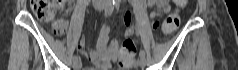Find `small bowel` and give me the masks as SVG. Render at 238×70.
Here are the masks:
<instances>
[{
  "label": "small bowel",
  "instance_id": "obj_1",
  "mask_svg": "<svg viewBox=\"0 0 238 70\" xmlns=\"http://www.w3.org/2000/svg\"><path fill=\"white\" fill-rule=\"evenodd\" d=\"M185 4V3H184ZM147 5L150 7L156 6L158 9L151 12V18L159 17L169 11L170 5L166 0H148ZM125 22L127 24V30L125 33L134 32L133 26H131V13L128 11L125 14ZM68 27V22L65 19H59L53 25L54 31L58 35L65 33ZM110 27L106 24L100 28L97 49L93 51L87 46L86 40L82 38L78 44V50L93 64L92 67L87 70H109L112 62H115L116 54H119L120 44L116 40L109 42Z\"/></svg>",
  "mask_w": 238,
  "mask_h": 70
}]
</instances>
